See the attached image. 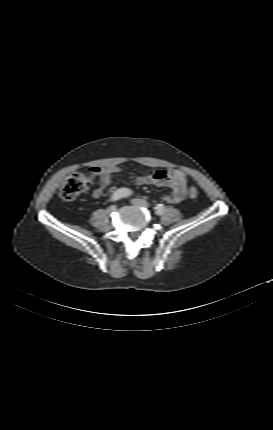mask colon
<instances>
[{"instance_id": "obj_1", "label": "colon", "mask_w": 273, "mask_h": 430, "mask_svg": "<svg viewBox=\"0 0 273 430\" xmlns=\"http://www.w3.org/2000/svg\"><path fill=\"white\" fill-rule=\"evenodd\" d=\"M92 183V175L88 172L81 171L70 175L60 189L59 196L62 200L70 201L75 199L79 194L89 188ZM199 191L191 187L188 196L192 199L197 198Z\"/></svg>"}]
</instances>
